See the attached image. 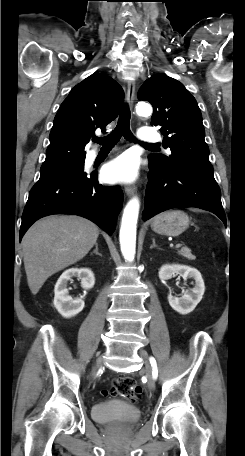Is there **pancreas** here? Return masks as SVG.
<instances>
[{
  "mask_svg": "<svg viewBox=\"0 0 245 456\" xmlns=\"http://www.w3.org/2000/svg\"><path fill=\"white\" fill-rule=\"evenodd\" d=\"M178 254L187 258L188 260H194L195 256L192 255L191 250L187 247H182L179 251Z\"/></svg>",
  "mask_w": 245,
  "mask_h": 456,
  "instance_id": "pancreas-1",
  "label": "pancreas"
}]
</instances>
